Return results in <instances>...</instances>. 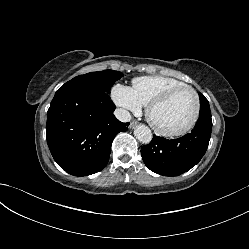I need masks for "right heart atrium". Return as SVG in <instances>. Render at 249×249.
<instances>
[{
	"mask_svg": "<svg viewBox=\"0 0 249 249\" xmlns=\"http://www.w3.org/2000/svg\"><path fill=\"white\" fill-rule=\"evenodd\" d=\"M112 99L124 112L137 113L142 108V104L136 98L132 88L123 84H116L113 87Z\"/></svg>",
	"mask_w": 249,
	"mask_h": 249,
	"instance_id": "right-heart-atrium-1",
	"label": "right heart atrium"
}]
</instances>
